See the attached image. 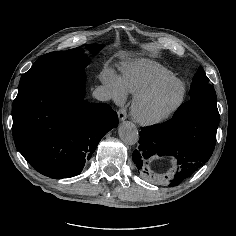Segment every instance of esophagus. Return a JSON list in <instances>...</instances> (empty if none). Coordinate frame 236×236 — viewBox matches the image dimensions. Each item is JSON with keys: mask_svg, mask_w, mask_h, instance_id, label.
Instances as JSON below:
<instances>
[{"mask_svg": "<svg viewBox=\"0 0 236 236\" xmlns=\"http://www.w3.org/2000/svg\"><path fill=\"white\" fill-rule=\"evenodd\" d=\"M118 118L120 121H124L127 118V111L125 108H120L118 110Z\"/></svg>", "mask_w": 236, "mask_h": 236, "instance_id": "esophagus-1", "label": "esophagus"}]
</instances>
